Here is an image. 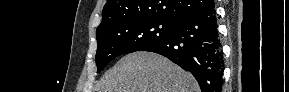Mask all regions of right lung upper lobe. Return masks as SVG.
<instances>
[{"label": "right lung upper lobe", "mask_w": 289, "mask_h": 92, "mask_svg": "<svg viewBox=\"0 0 289 92\" xmlns=\"http://www.w3.org/2000/svg\"><path fill=\"white\" fill-rule=\"evenodd\" d=\"M212 6L213 0H108L97 31L133 19L158 18L176 22Z\"/></svg>", "instance_id": "1"}]
</instances>
